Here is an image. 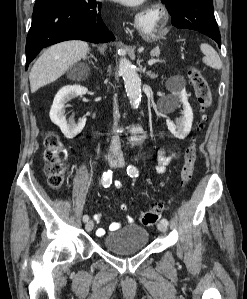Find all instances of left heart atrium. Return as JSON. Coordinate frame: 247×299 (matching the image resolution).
I'll use <instances>...</instances> for the list:
<instances>
[{
    "label": "left heart atrium",
    "instance_id": "left-heart-atrium-1",
    "mask_svg": "<svg viewBox=\"0 0 247 299\" xmlns=\"http://www.w3.org/2000/svg\"><path fill=\"white\" fill-rule=\"evenodd\" d=\"M114 1H119V2H122V3L134 5V4L140 3L142 0H114Z\"/></svg>",
    "mask_w": 247,
    "mask_h": 299
}]
</instances>
